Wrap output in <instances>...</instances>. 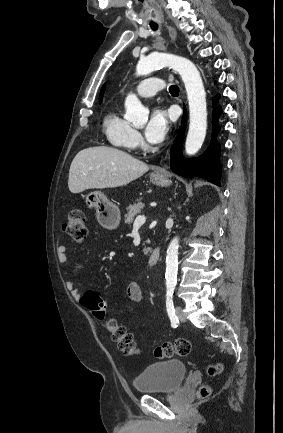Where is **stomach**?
<instances>
[{
	"label": "stomach",
	"instance_id": "stomach-1",
	"mask_svg": "<svg viewBox=\"0 0 283 433\" xmlns=\"http://www.w3.org/2000/svg\"><path fill=\"white\" fill-rule=\"evenodd\" d=\"M150 180L153 184H159V186H168L171 184V180L167 178V174L164 172H152L150 174ZM88 208H96L97 219L101 223H106V225H112L115 221V227H118L120 223V210L116 204L110 202L107 196L101 192V190H93V192H88L85 200Z\"/></svg>",
	"mask_w": 283,
	"mask_h": 433
}]
</instances>
